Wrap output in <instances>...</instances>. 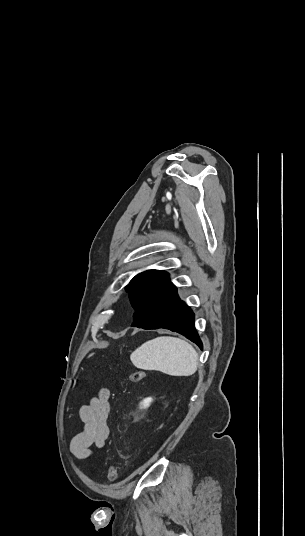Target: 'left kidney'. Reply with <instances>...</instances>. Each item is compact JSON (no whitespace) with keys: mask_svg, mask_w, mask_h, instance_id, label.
<instances>
[{"mask_svg":"<svg viewBox=\"0 0 305 536\" xmlns=\"http://www.w3.org/2000/svg\"><path fill=\"white\" fill-rule=\"evenodd\" d=\"M150 402H152V398H145V400L141 402L142 408H148V406H150Z\"/></svg>","mask_w":305,"mask_h":536,"instance_id":"1","label":"left kidney"}]
</instances>
